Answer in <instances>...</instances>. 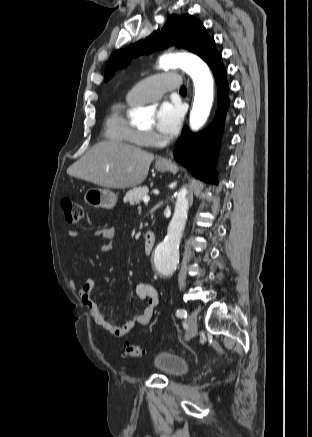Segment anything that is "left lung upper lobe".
Masks as SVG:
<instances>
[{"label": "left lung upper lobe", "instance_id": "5c2ea615", "mask_svg": "<svg viewBox=\"0 0 312 437\" xmlns=\"http://www.w3.org/2000/svg\"><path fill=\"white\" fill-rule=\"evenodd\" d=\"M175 44L178 48L196 53L205 62L218 52L214 39L208 35L200 21L188 14L172 15L161 29L145 41L135 43L128 49L116 51L106 64L105 81L112 77L115 69L126 67L131 57Z\"/></svg>", "mask_w": 312, "mask_h": 437}]
</instances>
